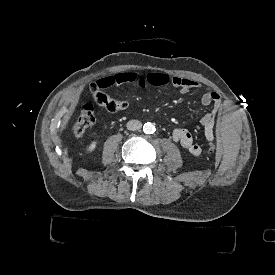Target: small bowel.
Here are the masks:
<instances>
[{"mask_svg":"<svg viewBox=\"0 0 275 275\" xmlns=\"http://www.w3.org/2000/svg\"><path fill=\"white\" fill-rule=\"evenodd\" d=\"M104 81V87L110 85H134L143 88H157L171 84L174 87L179 88L182 94H186L194 89L202 87L200 83L194 80L182 78L176 75H169L168 73L161 71L149 72L146 75H140L132 71H124L114 76L107 77ZM200 100L203 106L212 107L211 110L202 117L201 125L208 142H213L215 138L216 117L222 107L221 97L217 92L209 90L203 93ZM172 138L193 156L201 155L202 149L200 145L194 142L193 136L188 130L177 128L173 131Z\"/></svg>","mask_w":275,"mask_h":275,"instance_id":"1","label":"small bowel"}]
</instances>
